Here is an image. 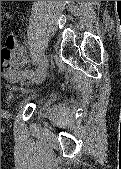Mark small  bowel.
I'll return each mask as SVG.
<instances>
[{
	"label": "small bowel",
	"mask_w": 121,
	"mask_h": 169,
	"mask_svg": "<svg viewBox=\"0 0 121 169\" xmlns=\"http://www.w3.org/2000/svg\"><path fill=\"white\" fill-rule=\"evenodd\" d=\"M27 64L23 48L16 44L13 34L7 39L6 46L1 49V75L11 81L25 78L29 70L22 69Z\"/></svg>",
	"instance_id": "obj_1"
}]
</instances>
